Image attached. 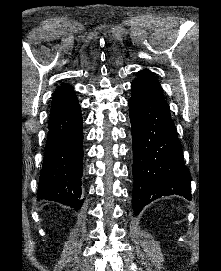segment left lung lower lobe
<instances>
[{
  "label": "left lung lower lobe",
  "instance_id": "obj_1",
  "mask_svg": "<svg viewBox=\"0 0 221 271\" xmlns=\"http://www.w3.org/2000/svg\"><path fill=\"white\" fill-rule=\"evenodd\" d=\"M131 89L134 214L162 196L175 194L192 200L191 176L168 104L140 82L133 81Z\"/></svg>",
  "mask_w": 221,
  "mask_h": 271
}]
</instances>
